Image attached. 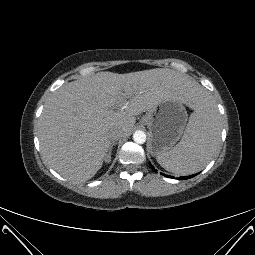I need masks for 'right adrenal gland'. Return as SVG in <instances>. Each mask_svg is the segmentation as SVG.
Returning <instances> with one entry per match:
<instances>
[{"instance_id":"2a0ac1e0","label":"right adrenal gland","mask_w":255,"mask_h":255,"mask_svg":"<svg viewBox=\"0 0 255 255\" xmlns=\"http://www.w3.org/2000/svg\"><path fill=\"white\" fill-rule=\"evenodd\" d=\"M113 146H115V143H113L110 146L109 151H108V153L106 154V157H105V162H110L111 161V153H112Z\"/></svg>"}]
</instances>
